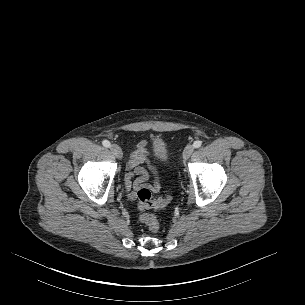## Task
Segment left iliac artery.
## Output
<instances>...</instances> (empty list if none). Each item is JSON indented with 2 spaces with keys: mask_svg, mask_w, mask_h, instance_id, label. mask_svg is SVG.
<instances>
[{
  "mask_svg": "<svg viewBox=\"0 0 305 305\" xmlns=\"http://www.w3.org/2000/svg\"><path fill=\"white\" fill-rule=\"evenodd\" d=\"M201 145H202V142L200 140H197L193 143L194 148H199V147H201Z\"/></svg>",
  "mask_w": 305,
  "mask_h": 305,
  "instance_id": "left-iliac-artery-1",
  "label": "left iliac artery"
}]
</instances>
